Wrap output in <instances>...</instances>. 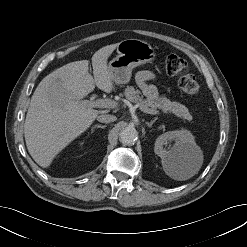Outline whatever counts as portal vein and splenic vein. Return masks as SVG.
Listing matches in <instances>:
<instances>
[{"label":"portal vein and splenic vein","mask_w":247,"mask_h":247,"mask_svg":"<svg viewBox=\"0 0 247 247\" xmlns=\"http://www.w3.org/2000/svg\"><path fill=\"white\" fill-rule=\"evenodd\" d=\"M85 104H89L92 107H96V108H116L118 106V103L114 100H110V99H98L96 101H83ZM137 107H139V109L141 111H143L144 113L147 114H159V112L157 110H151L148 107L137 103Z\"/></svg>","instance_id":"1"}]
</instances>
